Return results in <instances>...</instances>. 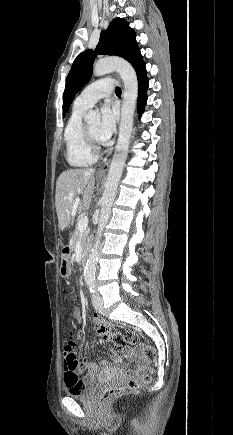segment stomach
Masks as SVG:
<instances>
[{
  "label": "stomach",
  "instance_id": "obj_1",
  "mask_svg": "<svg viewBox=\"0 0 233 435\" xmlns=\"http://www.w3.org/2000/svg\"><path fill=\"white\" fill-rule=\"evenodd\" d=\"M71 262L69 258L63 257L61 260V265L59 269V274L63 278H68L71 275Z\"/></svg>",
  "mask_w": 233,
  "mask_h": 435
}]
</instances>
